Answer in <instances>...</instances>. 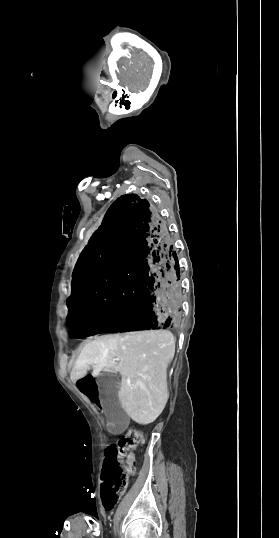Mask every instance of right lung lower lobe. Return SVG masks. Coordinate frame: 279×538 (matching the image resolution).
Masks as SVG:
<instances>
[{"instance_id":"98d812e1","label":"right lung lower lobe","mask_w":279,"mask_h":538,"mask_svg":"<svg viewBox=\"0 0 279 538\" xmlns=\"http://www.w3.org/2000/svg\"><path fill=\"white\" fill-rule=\"evenodd\" d=\"M178 257L158 210L136 194L119 197L82 251L67 299L80 337L158 329L181 318Z\"/></svg>"}]
</instances>
